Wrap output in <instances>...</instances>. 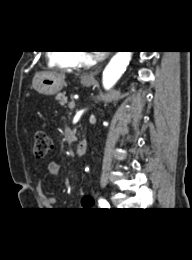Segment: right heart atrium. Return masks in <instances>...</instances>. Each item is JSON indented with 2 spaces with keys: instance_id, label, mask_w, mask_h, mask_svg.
Instances as JSON below:
<instances>
[{
  "instance_id": "d8ad5b80",
  "label": "right heart atrium",
  "mask_w": 192,
  "mask_h": 260,
  "mask_svg": "<svg viewBox=\"0 0 192 260\" xmlns=\"http://www.w3.org/2000/svg\"><path fill=\"white\" fill-rule=\"evenodd\" d=\"M77 60L79 63H85L88 60V56L84 52H79L77 54Z\"/></svg>"
}]
</instances>
